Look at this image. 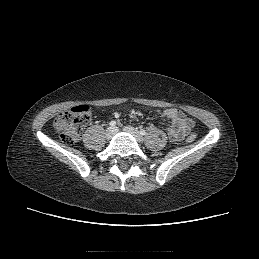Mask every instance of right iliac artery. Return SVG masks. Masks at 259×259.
I'll list each match as a JSON object with an SVG mask.
<instances>
[{
    "instance_id": "obj_1",
    "label": "right iliac artery",
    "mask_w": 259,
    "mask_h": 259,
    "mask_svg": "<svg viewBox=\"0 0 259 259\" xmlns=\"http://www.w3.org/2000/svg\"><path fill=\"white\" fill-rule=\"evenodd\" d=\"M109 125L111 126V127H115V125H116V121H111L110 123H109Z\"/></svg>"
}]
</instances>
